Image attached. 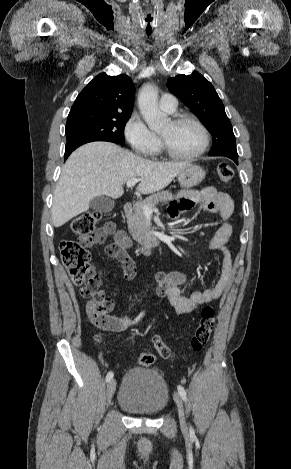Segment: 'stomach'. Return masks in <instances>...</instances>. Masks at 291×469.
<instances>
[{
    "label": "stomach",
    "mask_w": 291,
    "mask_h": 469,
    "mask_svg": "<svg viewBox=\"0 0 291 469\" xmlns=\"http://www.w3.org/2000/svg\"><path fill=\"white\" fill-rule=\"evenodd\" d=\"M205 170L198 166L190 164L178 174V181L185 188H192L198 185L205 177Z\"/></svg>",
    "instance_id": "1"
}]
</instances>
